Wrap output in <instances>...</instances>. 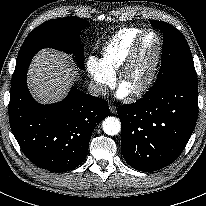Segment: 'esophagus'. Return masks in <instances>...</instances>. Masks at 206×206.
Instances as JSON below:
<instances>
[{
	"instance_id": "esophagus-1",
	"label": "esophagus",
	"mask_w": 206,
	"mask_h": 206,
	"mask_svg": "<svg viewBox=\"0 0 206 206\" xmlns=\"http://www.w3.org/2000/svg\"><path fill=\"white\" fill-rule=\"evenodd\" d=\"M109 109H110V112H111L112 114H116V113H117V107H116V106L111 105Z\"/></svg>"
}]
</instances>
